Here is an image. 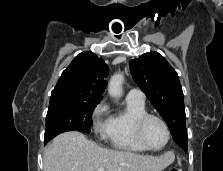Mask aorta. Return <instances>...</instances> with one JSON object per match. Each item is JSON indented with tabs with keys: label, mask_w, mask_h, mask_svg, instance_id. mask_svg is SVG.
Wrapping results in <instances>:
<instances>
[{
	"label": "aorta",
	"mask_w": 223,
	"mask_h": 171,
	"mask_svg": "<svg viewBox=\"0 0 223 171\" xmlns=\"http://www.w3.org/2000/svg\"><path fill=\"white\" fill-rule=\"evenodd\" d=\"M124 76L122 73L114 74L108 83V92L111 97L119 98L122 95V84Z\"/></svg>",
	"instance_id": "aorta-1"
}]
</instances>
